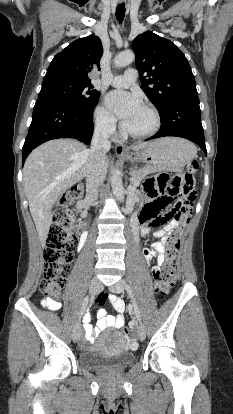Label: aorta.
<instances>
[{
    "mask_svg": "<svg viewBox=\"0 0 233 414\" xmlns=\"http://www.w3.org/2000/svg\"><path fill=\"white\" fill-rule=\"evenodd\" d=\"M135 60V55L132 51H124L119 53L114 58V65L116 68H122L131 64ZM111 187L113 195L120 202L124 201V188L122 185L121 173L115 169L111 175Z\"/></svg>",
    "mask_w": 233,
    "mask_h": 414,
    "instance_id": "1",
    "label": "aorta"
}]
</instances>
